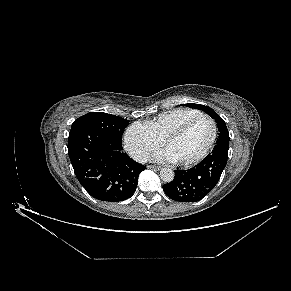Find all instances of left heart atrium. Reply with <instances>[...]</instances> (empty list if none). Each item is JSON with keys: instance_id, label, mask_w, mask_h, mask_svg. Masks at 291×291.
Instances as JSON below:
<instances>
[{"instance_id": "left-heart-atrium-1", "label": "left heart atrium", "mask_w": 291, "mask_h": 291, "mask_svg": "<svg viewBox=\"0 0 291 291\" xmlns=\"http://www.w3.org/2000/svg\"><path fill=\"white\" fill-rule=\"evenodd\" d=\"M153 159L155 161H159V162H164V161L174 162V161H176L175 158L173 157V155L167 149H163V150L156 152L153 155Z\"/></svg>"}]
</instances>
